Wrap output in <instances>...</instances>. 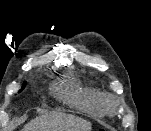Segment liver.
<instances>
[{
    "label": "liver",
    "instance_id": "6515ba94",
    "mask_svg": "<svg viewBox=\"0 0 151 131\" xmlns=\"http://www.w3.org/2000/svg\"><path fill=\"white\" fill-rule=\"evenodd\" d=\"M22 131H91V123L65 113H50L32 120Z\"/></svg>",
    "mask_w": 151,
    "mask_h": 131
}]
</instances>
